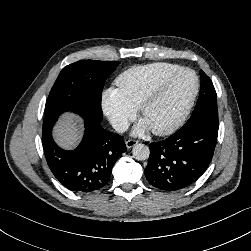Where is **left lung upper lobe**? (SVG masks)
<instances>
[{
  "instance_id": "5c2ea615",
  "label": "left lung upper lobe",
  "mask_w": 251,
  "mask_h": 251,
  "mask_svg": "<svg viewBox=\"0 0 251 251\" xmlns=\"http://www.w3.org/2000/svg\"><path fill=\"white\" fill-rule=\"evenodd\" d=\"M201 89L195 109L185 125L207 120L218 123L217 94L210 78L201 70Z\"/></svg>"
}]
</instances>
